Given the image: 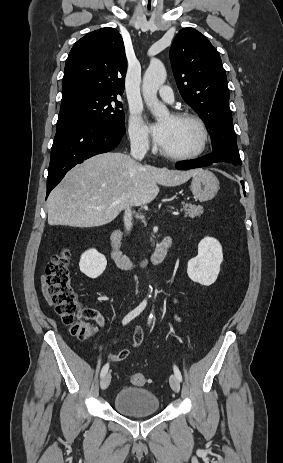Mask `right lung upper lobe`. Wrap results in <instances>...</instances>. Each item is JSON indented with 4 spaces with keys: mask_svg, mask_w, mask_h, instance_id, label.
Returning <instances> with one entry per match:
<instances>
[{
    "mask_svg": "<svg viewBox=\"0 0 283 463\" xmlns=\"http://www.w3.org/2000/svg\"><path fill=\"white\" fill-rule=\"evenodd\" d=\"M126 69L124 44L116 29L88 33L75 43L66 60L61 104L85 95H121Z\"/></svg>",
    "mask_w": 283,
    "mask_h": 463,
    "instance_id": "1",
    "label": "right lung upper lobe"
}]
</instances>
